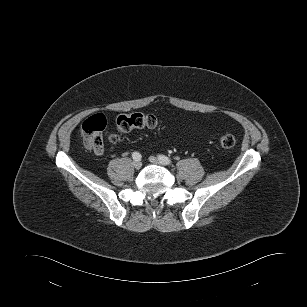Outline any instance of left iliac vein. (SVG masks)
Returning <instances> with one entry per match:
<instances>
[{"label": "left iliac vein", "mask_w": 307, "mask_h": 307, "mask_svg": "<svg viewBox=\"0 0 307 307\" xmlns=\"http://www.w3.org/2000/svg\"><path fill=\"white\" fill-rule=\"evenodd\" d=\"M149 161H150L151 163H153V164H163L162 162H160L159 159H157V158L154 157V156L149 157Z\"/></svg>", "instance_id": "obj_1"}]
</instances>
